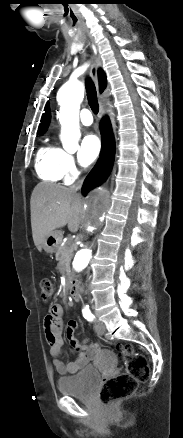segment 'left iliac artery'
Masks as SVG:
<instances>
[{
  "label": "left iliac artery",
  "mask_w": 183,
  "mask_h": 438,
  "mask_svg": "<svg viewBox=\"0 0 183 438\" xmlns=\"http://www.w3.org/2000/svg\"><path fill=\"white\" fill-rule=\"evenodd\" d=\"M82 313L84 318L87 319L88 321H93L95 318V316L91 313L88 306L82 309Z\"/></svg>",
  "instance_id": "left-iliac-artery-1"
}]
</instances>
